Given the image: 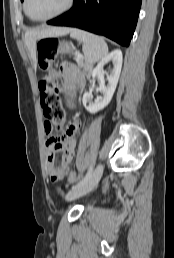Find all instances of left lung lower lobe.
Wrapping results in <instances>:
<instances>
[{
  "instance_id": "obj_1",
  "label": "left lung lower lobe",
  "mask_w": 174,
  "mask_h": 258,
  "mask_svg": "<svg viewBox=\"0 0 174 258\" xmlns=\"http://www.w3.org/2000/svg\"><path fill=\"white\" fill-rule=\"evenodd\" d=\"M142 0H75L71 10L47 22L103 35L122 46L133 37Z\"/></svg>"
}]
</instances>
